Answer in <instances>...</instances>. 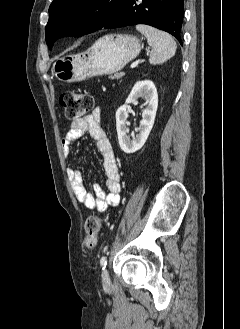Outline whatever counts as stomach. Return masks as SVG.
Masks as SVG:
<instances>
[{
    "label": "stomach",
    "instance_id": "0dacf381",
    "mask_svg": "<svg viewBox=\"0 0 240 329\" xmlns=\"http://www.w3.org/2000/svg\"><path fill=\"white\" fill-rule=\"evenodd\" d=\"M140 50V41L135 36L105 35L85 52L56 59L52 65V73L58 80L67 83L110 75L136 58Z\"/></svg>",
    "mask_w": 240,
    "mask_h": 329
}]
</instances>
